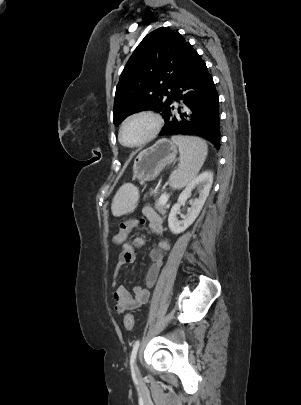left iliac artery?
I'll return each mask as SVG.
<instances>
[{
  "label": "left iliac artery",
  "mask_w": 301,
  "mask_h": 405,
  "mask_svg": "<svg viewBox=\"0 0 301 405\" xmlns=\"http://www.w3.org/2000/svg\"><path fill=\"white\" fill-rule=\"evenodd\" d=\"M139 340H137L135 343H134V345H133V349H132V352H131V357H130V363H131V365H135V360H136V354H137V351H138V347H139Z\"/></svg>",
  "instance_id": "44dca946"
}]
</instances>
